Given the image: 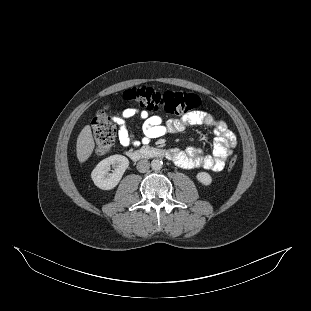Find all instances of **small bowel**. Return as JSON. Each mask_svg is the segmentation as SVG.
<instances>
[{
	"label": "small bowel",
	"instance_id": "1",
	"mask_svg": "<svg viewBox=\"0 0 311 311\" xmlns=\"http://www.w3.org/2000/svg\"><path fill=\"white\" fill-rule=\"evenodd\" d=\"M135 115H139L143 120L141 142L144 144L169 133L181 132L189 126H206L212 130L216 136L212 154H205L198 147L170 150L172 155L170 160L184 169L203 168L215 172L222 171L237 144L236 136L227 124L209 112L192 111L181 118L163 121L160 116L150 115L145 109L129 106L120 116L114 118L119 127L118 139L125 147L140 144V141L134 139L126 124V121Z\"/></svg>",
	"mask_w": 311,
	"mask_h": 311
}]
</instances>
